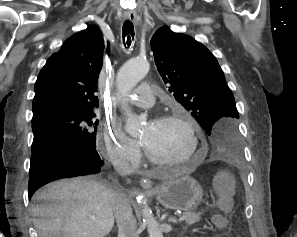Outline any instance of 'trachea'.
<instances>
[{"label":"trachea","instance_id":"obj_1","mask_svg":"<svg viewBox=\"0 0 297 237\" xmlns=\"http://www.w3.org/2000/svg\"><path fill=\"white\" fill-rule=\"evenodd\" d=\"M134 27H133V23L129 20H126L123 24V28H122V39H123V43L126 47L129 48L131 45V42L134 38Z\"/></svg>","mask_w":297,"mask_h":237}]
</instances>
